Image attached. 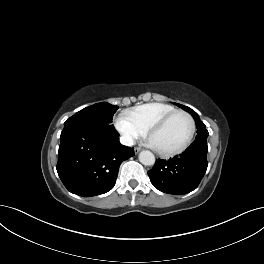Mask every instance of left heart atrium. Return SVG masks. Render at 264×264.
Here are the masks:
<instances>
[{
  "mask_svg": "<svg viewBox=\"0 0 264 264\" xmlns=\"http://www.w3.org/2000/svg\"><path fill=\"white\" fill-rule=\"evenodd\" d=\"M150 144H151L153 147H155L154 144H153L152 142H151Z\"/></svg>",
  "mask_w": 264,
  "mask_h": 264,
  "instance_id": "1",
  "label": "left heart atrium"
}]
</instances>
